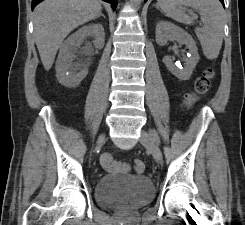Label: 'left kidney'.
Instances as JSON below:
<instances>
[{
    "mask_svg": "<svg viewBox=\"0 0 245 225\" xmlns=\"http://www.w3.org/2000/svg\"><path fill=\"white\" fill-rule=\"evenodd\" d=\"M156 42L164 46L170 39H175L179 44H184L189 52L184 58V67L176 65L170 56H165L163 62L167 69L180 80H188L199 61L198 48L192 36L179 26L168 22L160 21L156 25Z\"/></svg>",
    "mask_w": 245,
    "mask_h": 225,
    "instance_id": "5707ae66",
    "label": "left kidney"
}]
</instances>
